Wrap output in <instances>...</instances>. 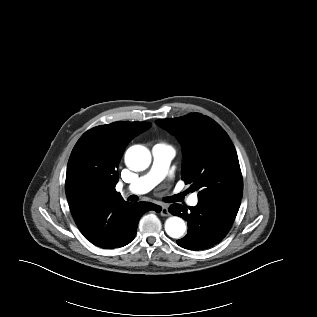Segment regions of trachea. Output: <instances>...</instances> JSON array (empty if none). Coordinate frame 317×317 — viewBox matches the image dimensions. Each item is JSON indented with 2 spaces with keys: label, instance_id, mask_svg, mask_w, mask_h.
<instances>
[{
  "label": "trachea",
  "instance_id": "1",
  "mask_svg": "<svg viewBox=\"0 0 317 317\" xmlns=\"http://www.w3.org/2000/svg\"><path fill=\"white\" fill-rule=\"evenodd\" d=\"M129 200H130V201H137L138 198H137V196L132 195V196L129 197Z\"/></svg>",
  "mask_w": 317,
  "mask_h": 317
}]
</instances>
